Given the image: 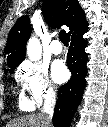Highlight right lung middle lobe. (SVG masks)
<instances>
[{
    "label": "right lung middle lobe",
    "mask_w": 108,
    "mask_h": 127,
    "mask_svg": "<svg viewBox=\"0 0 108 127\" xmlns=\"http://www.w3.org/2000/svg\"><path fill=\"white\" fill-rule=\"evenodd\" d=\"M17 66H18V64L17 65H11V66H9L10 67L9 72L13 71L14 68L17 67Z\"/></svg>",
    "instance_id": "right-lung-middle-lobe-1"
}]
</instances>
